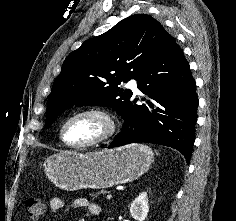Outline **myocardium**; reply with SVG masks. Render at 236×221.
<instances>
[{"mask_svg":"<svg viewBox=\"0 0 236 221\" xmlns=\"http://www.w3.org/2000/svg\"><path fill=\"white\" fill-rule=\"evenodd\" d=\"M84 115H98L102 117L106 121L107 126H108L106 133L102 135L101 137L85 144L75 145V144H71L67 142L65 138V128L72 120L80 116H84ZM117 131H118V121L113 113H111L109 110L102 107H89V108L79 110L75 112L74 114H72L71 116H69L61 125L59 135L63 144L67 146L68 148L76 149V150H83V149L92 148L98 145H102L112 140L116 136Z\"/></svg>","mask_w":236,"mask_h":221,"instance_id":"myocardium-1","label":"myocardium"}]
</instances>
